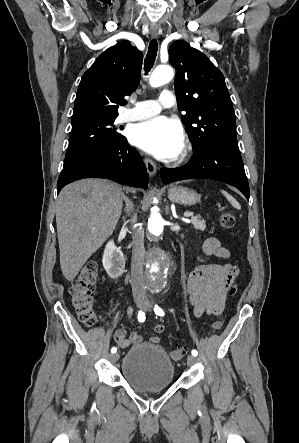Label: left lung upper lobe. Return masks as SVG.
I'll use <instances>...</instances> for the list:
<instances>
[{
    "instance_id": "5c2ea615",
    "label": "left lung upper lobe",
    "mask_w": 299,
    "mask_h": 443,
    "mask_svg": "<svg viewBox=\"0 0 299 443\" xmlns=\"http://www.w3.org/2000/svg\"><path fill=\"white\" fill-rule=\"evenodd\" d=\"M175 92L193 151L219 144L238 149L236 120L223 74L206 55L176 41L169 49Z\"/></svg>"
}]
</instances>
